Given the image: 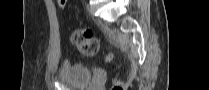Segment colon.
Returning <instances> with one entry per match:
<instances>
[{
	"label": "colon",
	"instance_id": "colon-1",
	"mask_svg": "<svg viewBox=\"0 0 209 90\" xmlns=\"http://www.w3.org/2000/svg\"><path fill=\"white\" fill-rule=\"evenodd\" d=\"M66 0L60 1V6L64 7ZM72 43L85 56H94L100 49V42L95 33L90 29H78L71 36ZM107 60H111L110 54L106 55ZM114 90H122L121 86H116Z\"/></svg>",
	"mask_w": 209,
	"mask_h": 90
}]
</instances>
